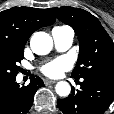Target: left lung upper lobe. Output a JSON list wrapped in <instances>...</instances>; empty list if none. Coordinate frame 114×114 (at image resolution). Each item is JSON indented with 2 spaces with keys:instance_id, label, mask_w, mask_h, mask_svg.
<instances>
[{
  "instance_id": "obj_1",
  "label": "left lung upper lobe",
  "mask_w": 114,
  "mask_h": 114,
  "mask_svg": "<svg viewBox=\"0 0 114 114\" xmlns=\"http://www.w3.org/2000/svg\"><path fill=\"white\" fill-rule=\"evenodd\" d=\"M49 11L70 25L80 42L72 77H101L114 80V43L99 20L80 8L60 7Z\"/></svg>"
}]
</instances>
